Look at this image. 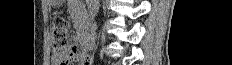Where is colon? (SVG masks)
Returning <instances> with one entry per match:
<instances>
[{
    "instance_id": "colon-1",
    "label": "colon",
    "mask_w": 232,
    "mask_h": 65,
    "mask_svg": "<svg viewBox=\"0 0 232 65\" xmlns=\"http://www.w3.org/2000/svg\"><path fill=\"white\" fill-rule=\"evenodd\" d=\"M69 23L58 17L54 20L51 30V44L54 61L58 65H70L78 60L77 48L68 39Z\"/></svg>"
}]
</instances>
